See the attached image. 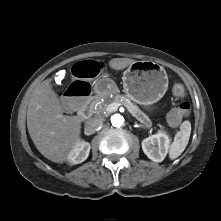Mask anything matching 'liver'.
<instances>
[{
	"label": "liver",
	"instance_id": "liver-1",
	"mask_svg": "<svg viewBox=\"0 0 221 221\" xmlns=\"http://www.w3.org/2000/svg\"><path fill=\"white\" fill-rule=\"evenodd\" d=\"M135 60L114 58L109 66L122 70ZM63 108L50 81L39 84L32 92L27 109V128L37 150L47 159L63 163L80 139L81 119L63 115Z\"/></svg>",
	"mask_w": 221,
	"mask_h": 221
}]
</instances>
